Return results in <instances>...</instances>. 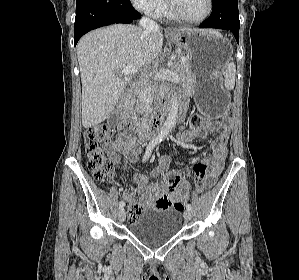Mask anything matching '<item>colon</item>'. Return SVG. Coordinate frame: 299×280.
<instances>
[{"instance_id": "obj_1", "label": "colon", "mask_w": 299, "mask_h": 280, "mask_svg": "<svg viewBox=\"0 0 299 280\" xmlns=\"http://www.w3.org/2000/svg\"><path fill=\"white\" fill-rule=\"evenodd\" d=\"M207 118L202 115H194L191 118L190 125L192 133H198L200 127ZM112 141V130L103 125H97L88 128L84 133V146L87 154V163L90 172L95 180L100 182H109L114 178V159L103 150L104 145L110 144ZM196 189L202 191L212 185V181L208 179V166L205 162H197L193 167ZM185 201H177L174 208L178 211L184 209ZM144 212V206L141 202L130 204L128 210L129 221L133 222L140 218Z\"/></svg>"}]
</instances>
